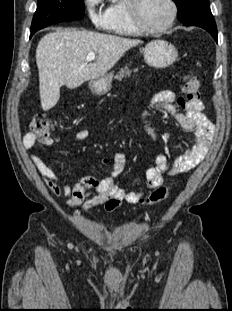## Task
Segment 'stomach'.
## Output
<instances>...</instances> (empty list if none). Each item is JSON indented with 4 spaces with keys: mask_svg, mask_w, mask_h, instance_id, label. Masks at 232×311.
Returning <instances> with one entry per match:
<instances>
[{
    "mask_svg": "<svg viewBox=\"0 0 232 311\" xmlns=\"http://www.w3.org/2000/svg\"><path fill=\"white\" fill-rule=\"evenodd\" d=\"M146 63L154 68H166L178 58L174 45L164 40H153L143 48ZM112 74H105L89 81V89L93 94L103 95L112 87Z\"/></svg>",
    "mask_w": 232,
    "mask_h": 311,
    "instance_id": "obj_1",
    "label": "stomach"
}]
</instances>
